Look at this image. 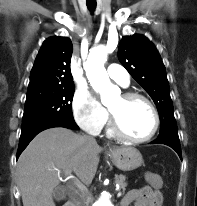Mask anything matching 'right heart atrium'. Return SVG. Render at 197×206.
<instances>
[{"mask_svg": "<svg viewBox=\"0 0 197 206\" xmlns=\"http://www.w3.org/2000/svg\"><path fill=\"white\" fill-rule=\"evenodd\" d=\"M77 124L91 134H98L108 120V113L88 89L77 90L72 100Z\"/></svg>", "mask_w": 197, "mask_h": 206, "instance_id": "d8ad5b80", "label": "right heart atrium"}]
</instances>
